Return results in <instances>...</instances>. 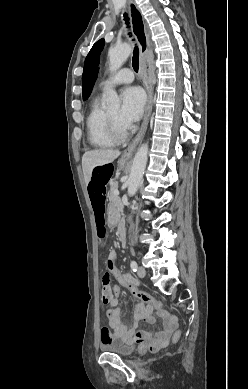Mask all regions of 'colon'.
I'll use <instances>...</instances> for the list:
<instances>
[{"mask_svg":"<svg viewBox=\"0 0 248 389\" xmlns=\"http://www.w3.org/2000/svg\"><path fill=\"white\" fill-rule=\"evenodd\" d=\"M113 176L112 166L108 165L107 162H104L103 165H99L98 170L93 172L92 179L88 180V195L91 206L94 211L95 218H97L98 225V236L100 239H104L106 235V230L104 228V202L106 191V186H108L110 177ZM98 216V217H97ZM106 265L109 271H105L102 275V300L104 303L110 300L111 298V275L117 280V283H114L112 286V294L114 298L122 297V288H125L127 291H131V294L141 300L142 302L148 304L152 309H161L163 303L157 301L151 295L139 290L136 284H133L132 281H128L122 273V268L117 267L116 264H113L111 259H108ZM107 304V303H106ZM182 335L181 331H178L174 335V340L177 341Z\"/></svg>","mask_w":248,"mask_h":389,"instance_id":"5ec220e1","label":"colon"}]
</instances>
